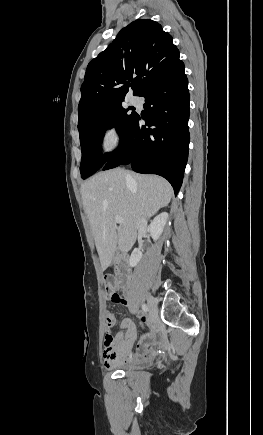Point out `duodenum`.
<instances>
[{
  "label": "duodenum",
  "mask_w": 263,
  "mask_h": 435,
  "mask_svg": "<svg viewBox=\"0 0 263 435\" xmlns=\"http://www.w3.org/2000/svg\"><path fill=\"white\" fill-rule=\"evenodd\" d=\"M116 266L119 278L123 284L126 286L128 279V267H127V259L124 255H118L116 258Z\"/></svg>",
  "instance_id": "410a0bca"
}]
</instances>
